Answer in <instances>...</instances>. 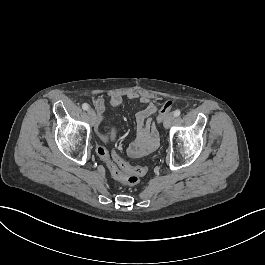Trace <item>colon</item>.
<instances>
[{"instance_id": "obj_1", "label": "colon", "mask_w": 265, "mask_h": 265, "mask_svg": "<svg viewBox=\"0 0 265 265\" xmlns=\"http://www.w3.org/2000/svg\"><path fill=\"white\" fill-rule=\"evenodd\" d=\"M176 105L172 99H169L161 108L156 116L159 122L165 119L166 113ZM162 132L165 130L161 125L158 127ZM110 129L108 123L102 125V135H106ZM97 154L99 158L105 163L108 170L116 177V179L125 182L130 186L137 185L141 178L146 175L148 168L146 166L133 167L118 154L113 155V159L109 158V153L103 145L97 146Z\"/></svg>"}]
</instances>
